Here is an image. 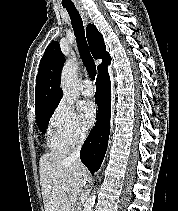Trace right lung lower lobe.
I'll return each mask as SVG.
<instances>
[{
	"label": "right lung lower lobe",
	"mask_w": 178,
	"mask_h": 211,
	"mask_svg": "<svg viewBox=\"0 0 178 211\" xmlns=\"http://www.w3.org/2000/svg\"><path fill=\"white\" fill-rule=\"evenodd\" d=\"M95 102L98 106L97 121L80 153L83 164L92 174L99 170L108 145L111 113V82L108 72L97 76Z\"/></svg>",
	"instance_id": "98d812e1"
}]
</instances>
